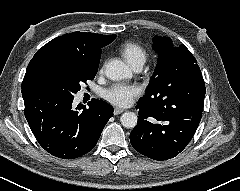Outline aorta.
<instances>
[{"label":"aorta","mask_w":240,"mask_h":191,"mask_svg":"<svg viewBox=\"0 0 240 191\" xmlns=\"http://www.w3.org/2000/svg\"><path fill=\"white\" fill-rule=\"evenodd\" d=\"M105 75L108 79L113 81H119L125 78H130L132 72L130 68L121 60H110L105 67ZM120 121L123 127L132 129L137 125L138 118L134 112H125L120 117Z\"/></svg>","instance_id":"obj_1"}]
</instances>
